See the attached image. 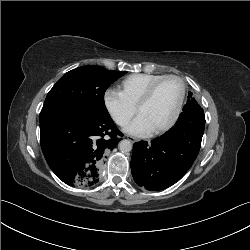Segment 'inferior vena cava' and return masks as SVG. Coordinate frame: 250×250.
<instances>
[{
  "label": "inferior vena cava",
  "mask_w": 250,
  "mask_h": 250,
  "mask_svg": "<svg viewBox=\"0 0 250 250\" xmlns=\"http://www.w3.org/2000/svg\"><path fill=\"white\" fill-rule=\"evenodd\" d=\"M116 122H117L119 125L123 126V125H126V124L128 123V119H127V118H118V119L116 120Z\"/></svg>",
  "instance_id": "1"
}]
</instances>
